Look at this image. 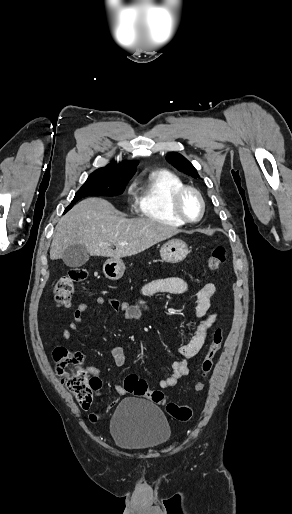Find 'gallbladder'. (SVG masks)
I'll use <instances>...</instances> for the list:
<instances>
[{"instance_id":"1","label":"gallbladder","mask_w":292,"mask_h":514,"mask_svg":"<svg viewBox=\"0 0 292 514\" xmlns=\"http://www.w3.org/2000/svg\"><path fill=\"white\" fill-rule=\"evenodd\" d=\"M90 258V254L85 244H72L67 246L62 254V260L69 268H80L86 264Z\"/></svg>"}]
</instances>
